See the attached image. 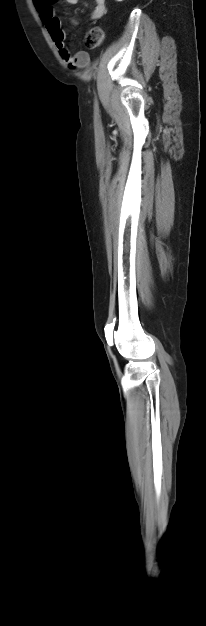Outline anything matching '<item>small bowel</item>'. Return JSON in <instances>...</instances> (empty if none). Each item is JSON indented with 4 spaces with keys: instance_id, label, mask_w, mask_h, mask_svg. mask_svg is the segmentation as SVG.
Masks as SVG:
<instances>
[{
    "instance_id": "c3829d8e",
    "label": "small bowel",
    "mask_w": 206,
    "mask_h": 626,
    "mask_svg": "<svg viewBox=\"0 0 206 626\" xmlns=\"http://www.w3.org/2000/svg\"><path fill=\"white\" fill-rule=\"evenodd\" d=\"M78 0H66L70 4ZM95 6L90 14L92 20H100L106 13V0H94ZM40 13V17L46 26L62 60L69 68H84L90 62V56L86 51L72 53L71 47L66 42L65 32L61 28L60 20L56 17L53 9V0H34Z\"/></svg>"
}]
</instances>
